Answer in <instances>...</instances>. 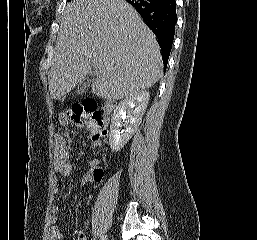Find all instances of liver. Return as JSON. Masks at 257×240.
Wrapping results in <instances>:
<instances>
[{
	"mask_svg": "<svg viewBox=\"0 0 257 240\" xmlns=\"http://www.w3.org/2000/svg\"><path fill=\"white\" fill-rule=\"evenodd\" d=\"M49 91L64 98L95 66L92 90L122 99L161 77L160 47L152 31L125 0H73L62 14Z\"/></svg>",
	"mask_w": 257,
	"mask_h": 240,
	"instance_id": "obj_1",
	"label": "liver"
}]
</instances>
